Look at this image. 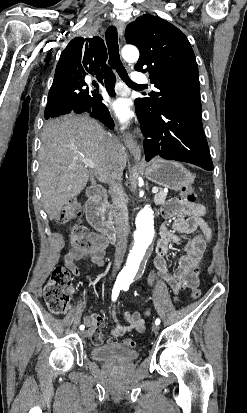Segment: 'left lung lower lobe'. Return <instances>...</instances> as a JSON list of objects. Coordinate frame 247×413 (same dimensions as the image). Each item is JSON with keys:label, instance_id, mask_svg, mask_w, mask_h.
Returning a JSON list of instances; mask_svg holds the SVG:
<instances>
[{"label": "left lung lower lobe", "instance_id": "left-lung-lower-lobe-1", "mask_svg": "<svg viewBox=\"0 0 247 413\" xmlns=\"http://www.w3.org/2000/svg\"><path fill=\"white\" fill-rule=\"evenodd\" d=\"M136 113L143 135L150 138L144 140L147 161L160 156L213 170L201 115L177 108L160 109L150 119Z\"/></svg>", "mask_w": 247, "mask_h": 413}]
</instances>
